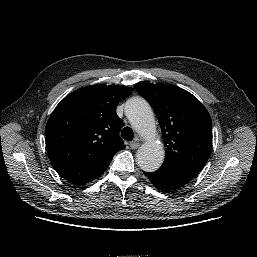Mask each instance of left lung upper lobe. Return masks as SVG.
Masks as SVG:
<instances>
[{"instance_id": "1", "label": "left lung upper lobe", "mask_w": 257, "mask_h": 257, "mask_svg": "<svg viewBox=\"0 0 257 257\" xmlns=\"http://www.w3.org/2000/svg\"><path fill=\"white\" fill-rule=\"evenodd\" d=\"M136 90L153 107L164 140V167L195 176L212 147V121L206 108L188 91L169 84L139 82Z\"/></svg>"}]
</instances>
